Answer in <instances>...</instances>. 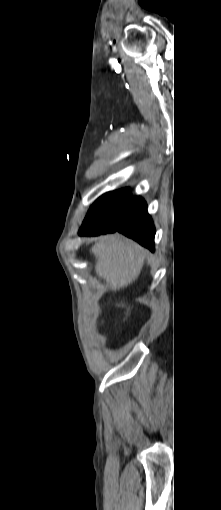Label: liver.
Masks as SVG:
<instances>
[{
  "label": "liver",
  "instance_id": "liver-1",
  "mask_svg": "<svg viewBox=\"0 0 221 510\" xmlns=\"http://www.w3.org/2000/svg\"><path fill=\"white\" fill-rule=\"evenodd\" d=\"M91 252L96 258L95 272L112 291L132 284L140 275L146 250L119 234L96 238Z\"/></svg>",
  "mask_w": 221,
  "mask_h": 510
}]
</instances>
